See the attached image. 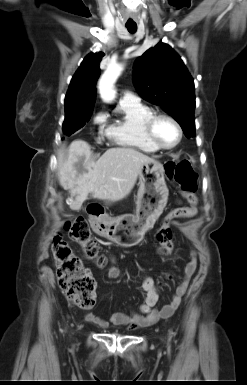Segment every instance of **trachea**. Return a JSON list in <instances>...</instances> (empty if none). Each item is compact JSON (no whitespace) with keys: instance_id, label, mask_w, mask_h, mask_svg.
Segmentation results:
<instances>
[{"instance_id":"1","label":"trachea","mask_w":247,"mask_h":385,"mask_svg":"<svg viewBox=\"0 0 247 385\" xmlns=\"http://www.w3.org/2000/svg\"><path fill=\"white\" fill-rule=\"evenodd\" d=\"M126 28L127 30L130 32V33H135L136 30H137V25L134 24V25H126Z\"/></svg>"}]
</instances>
